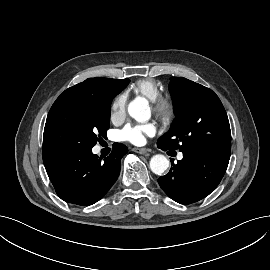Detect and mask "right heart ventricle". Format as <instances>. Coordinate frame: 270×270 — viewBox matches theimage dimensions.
<instances>
[{
  "label": "right heart ventricle",
  "mask_w": 270,
  "mask_h": 270,
  "mask_svg": "<svg viewBox=\"0 0 270 270\" xmlns=\"http://www.w3.org/2000/svg\"><path fill=\"white\" fill-rule=\"evenodd\" d=\"M132 88L135 92L151 101L161 95L162 92L158 82L151 78H144L136 81Z\"/></svg>",
  "instance_id": "right-heart-ventricle-1"
}]
</instances>
